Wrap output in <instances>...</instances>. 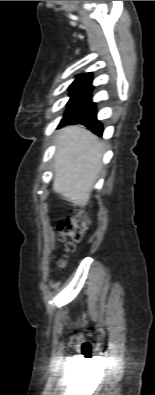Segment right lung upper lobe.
<instances>
[{"label": "right lung upper lobe", "instance_id": "right-lung-upper-lobe-1", "mask_svg": "<svg viewBox=\"0 0 155 395\" xmlns=\"http://www.w3.org/2000/svg\"><path fill=\"white\" fill-rule=\"evenodd\" d=\"M91 73H85L77 76L75 81L71 85H84V86H91Z\"/></svg>", "mask_w": 155, "mask_h": 395}]
</instances>
